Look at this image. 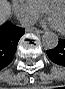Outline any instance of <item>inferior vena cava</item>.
<instances>
[{
    "label": "inferior vena cava",
    "instance_id": "inferior-vena-cava-1",
    "mask_svg": "<svg viewBox=\"0 0 65 89\" xmlns=\"http://www.w3.org/2000/svg\"><path fill=\"white\" fill-rule=\"evenodd\" d=\"M34 19H25L24 21H22V27H28L30 25H32L34 23Z\"/></svg>",
    "mask_w": 65,
    "mask_h": 89
}]
</instances>
